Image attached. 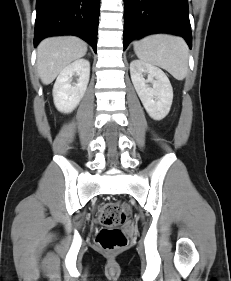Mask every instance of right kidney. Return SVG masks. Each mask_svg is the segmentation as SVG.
Returning a JSON list of instances; mask_svg holds the SVG:
<instances>
[{
	"mask_svg": "<svg viewBox=\"0 0 231 281\" xmlns=\"http://www.w3.org/2000/svg\"><path fill=\"white\" fill-rule=\"evenodd\" d=\"M77 76V82L72 83ZM90 76V63L86 59H78L65 67L58 75L53 87L55 107L63 113L72 112L83 98Z\"/></svg>",
	"mask_w": 231,
	"mask_h": 281,
	"instance_id": "ca27d5eb",
	"label": "right kidney"
}]
</instances>
